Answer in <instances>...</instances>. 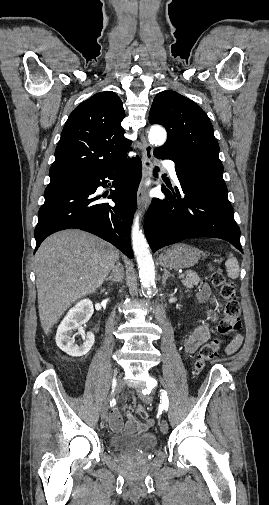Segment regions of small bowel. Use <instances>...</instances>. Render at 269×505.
<instances>
[{"mask_svg":"<svg viewBox=\"0 0 269 505\" xmlns=\"http://www.w3.org/2000/svg\"><path fill=\"white\" fill-rule=\"evenodd\" d=\"M210 298V289L208 285H202L198 295L197 301L203 302ZM209 321H215L216 315L213 311H208L207 313ZM214 333L213 328L209 322H203L199 324L193 331V333L186 339L184 344L185 354L194 353L200 345L206 342L211 334ZM242 343V337L240 335L233 336L231 342L226 348L228 354H232L238 350ZM110 427L114 432L125 433L128 435H138L147 431L150 427L154 425L152 419H147L144 422H138L131 412H127L126 420L124 421L121 412L118 408H114L111 411L109 419Z\"/></svg>","mask_w":269,"mask_h":505,"instance_id":"small-bowel-1","label":"small bowel"}]
</instances>
